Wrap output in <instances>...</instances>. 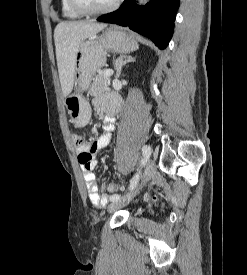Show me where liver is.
<instances>
[{
  "mask_svg": "<svg viewBox=\"0 0 247 275\" xmlns=\"http://www.w3.org/2000/svg\"><path fill=\"white\" fill-rule=\"evenodd\" d=\"M107 25L91 21L61 22L54 30L56 59L63 96L73 90L76 53L86 38L93 37Z\"/></svg>",
  "mask_w": 247,
  "mask_h": 275,
  "instance_id": "obj_1",
  "label": "liver"
}]
</instances>
